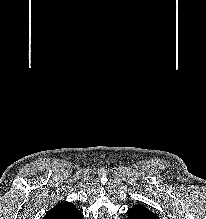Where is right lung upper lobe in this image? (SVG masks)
Segmentation results:
<instances>
[{"instance_id": "obj_1", "label": "right lung upper lobe", "mask_w": 206, "mask_h": 219, "mask_svg": "<svg viewBox=\"0 0 206 219\" xmlns=\"http://www.w3.org/2000/svg\"><path fill=\"white\" fill-rule=\"evenodd\" d=\"M83 214L75 205L68 202H60L50 209L43 219H83Z\"/></svg>"}]
</instances>
